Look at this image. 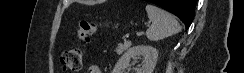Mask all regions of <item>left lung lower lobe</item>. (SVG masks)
Wrapping results in <instances>:
<instances>
[{
  "label": "left lung lower lobe",
  "mask_w": 244,
  "mask_h": 73,
  "mask_svg": "<svg viewBox=\"0 0 244 73\" xmlns=\"http://www.w3.org/2000/svg\"><path fill=\"white\" fill-rule=\"evenodd\" d=\"M173 13L189 28L194 17L196 0H147Z\"/></svg>",
  "instance_id": "left-lung-lower-lobe-1"
}]
</instances>
